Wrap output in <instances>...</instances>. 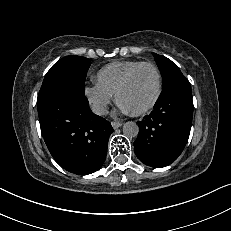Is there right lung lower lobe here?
Returning <instances> with one entry per match:
<instances>
[{
	"instance_id": "98d812e1",
	"label": "right lung lower lobe",
	"mask_w": 231,
	"mask_h": 231,
	"mask_svg": "<svg viewBox=\"0 0 231 231\" xmlns=\"http://www.w3.org/2000/svg\"><path fill=\"white\" fill-rule=\"evenodd\" d=\"M37 109L44 141L61 167L86 175L102 166L114 130L90 110L83 91L55 89L37 100Z\"/></svg>"
}]
</instances>
